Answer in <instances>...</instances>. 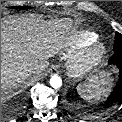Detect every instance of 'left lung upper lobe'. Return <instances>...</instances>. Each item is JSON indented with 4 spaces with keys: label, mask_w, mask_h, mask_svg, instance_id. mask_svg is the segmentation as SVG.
<instances>
[{
    "label": "left lung upper lobe",
    "mask_w": 122,
    "mask_h": 122,
    "mask_svg": "<svg viewBox=\"0 0 122 122\" xmlns=\"http://www.w3.org/2000/svg\"><path fill=\"white\" fill-rule=\"evenodd\" d=\"M114 52H122V35L118 32L115 35Z\"/></svg>",
    "instance_id": "1"
}]
</instances>
